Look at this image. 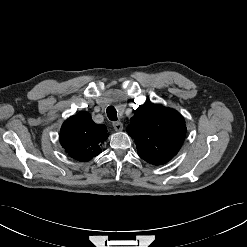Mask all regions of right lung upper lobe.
I'll return each instance as SVG.
<instances>
[{"instance_id":"1","label":"right lung upper lobe","mask_w":247,"mask_h":247,"mask_svg":"<svg viewBox=\"0 0 247 247\" xmlns=\"http://www.w3.org/2000/svg\"><path fill=\"white\" fill-rule=\"evenodd\" d=\"M108 137L103 124H95L89 113L80 112L68 118L61 127L60 142L69 155L88 161L101 152V143Z\"/></svg>"}]
</instances>
